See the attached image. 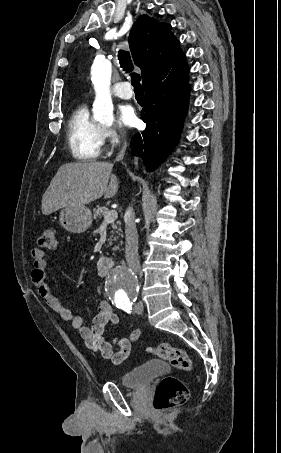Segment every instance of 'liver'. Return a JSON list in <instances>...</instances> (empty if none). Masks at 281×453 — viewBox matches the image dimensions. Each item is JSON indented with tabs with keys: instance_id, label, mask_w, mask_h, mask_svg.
Listing matches in <instances>:
<instances>
[{
	"instance_id": "liver-1",
	"label": "liver",
	"mask_w": 281,
	"mask_h": 453,
	"mask_svg": "<svg viewBox=\"0 0 281 453\" xmlns=\"http://www.w3.org/2000/svg\"><path fill=\"white\" fill-rule=\"evenodd\" d=\"M112 162H66L58 168L42 196L43 214L65 206H85L92 200L112 198L118 192V178Z\"/></svg>"
}]
</instances>
